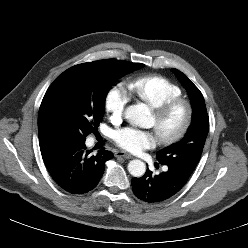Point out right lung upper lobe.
I'll list each match as a JSON object with an SVG mask.
<instances>
[{"instance_id":"obj_1","label":"right lung upper lobe","mask_w":248,"mask_h":248,"mask_svg":"<svg viewBox=\"0 0 248 248\" xmlns=\"http://www.w3.org/2000/svg\"><path fill=\"white\" fill-rule=\"evenodd\" d=\"M58 141L60 140L55 137L44 135V134H39V144H40L41 150H44V148L48 146L49 144L56 143Z\"/></svg>"}]
</instances>
